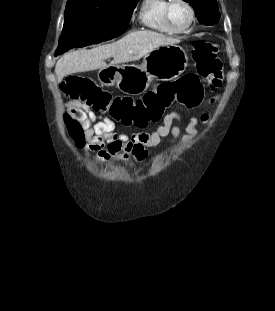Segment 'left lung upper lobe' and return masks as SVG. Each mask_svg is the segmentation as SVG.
I'll return each mask as SVG.
<instances>
[{"mask_svg":"<svg viewBox=\"0 0 275 311\" xmlns=\"http://www.w3.org/2000/svg\"><path fill=\"white\" fill-rule=\"evenodd\" d=\"M194 8L197 19L205 25L215 24L219 18L218 6L216 0H184Z\"/></svg>","mask_w":275,"mask_h":311,"instance_id":"1","label":"left lung upper lobe"}]
</instances>
